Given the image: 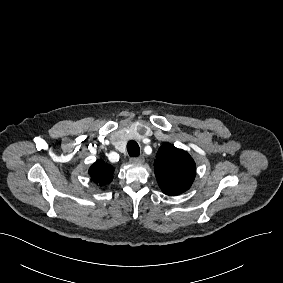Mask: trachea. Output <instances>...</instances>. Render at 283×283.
I'll list each match as a JSON object with an SVG mask.
<instances>
[{
    "label": "trachea",
    "instance_id": "trachea-1",
    "mask_svg": "<svg viewBox=\"0 0 283 283\" xmlns=\"http://www.w3.org/2000/svg\"><path fill=\"white\" fill-rule=\"evenodd\" d=\"M127 151L129 156L131 157H137L140 154V148L136 141H129L127 144Z\"/></svg>",
    "mask_w": 283,
    "mask_h": 283
}]
</instances>
